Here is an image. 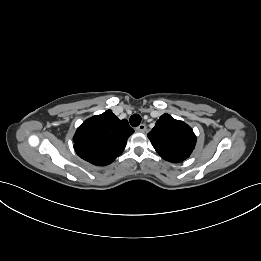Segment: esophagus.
<instances>
[{
  "instance_id": "34e87169",
  "label": "esophagus",
  "mask_w": 261,
  "mask_h": 261,
  "mask_svg": "<svg viewBox=\"0 0 261 261\" xmlns=\"http://www.w3.org/2000/svg\"><path fill=\"white\" fill-rule=\"evenodd\" d=\"M136 131L138 132H145L146 131V125L145 124H140L137 128Z\"/></svg>"
}]
</instances>
